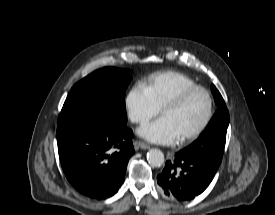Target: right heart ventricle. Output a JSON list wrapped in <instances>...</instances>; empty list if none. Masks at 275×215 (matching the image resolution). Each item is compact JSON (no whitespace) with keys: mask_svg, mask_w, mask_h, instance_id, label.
I'll return each mask as SVG.
<instances>
[{"mask_svg":"<svg viewBox=\"0 0 275 215\" xmlns=\"http://www.w3.org/2000/svg\"><path fill=\"white\" fill-rule=\"evenodd\" d=\"M195 85L192 78L177 71L154 73L145 83L147 91L159 108L181 90Z\"/></svg>","mask_w":275,"mask_h":215,"instance_id":"1","label":"right heart ventricle"}]
</instances>
